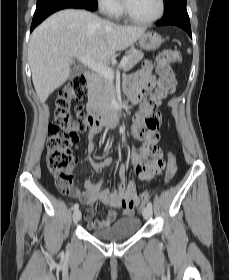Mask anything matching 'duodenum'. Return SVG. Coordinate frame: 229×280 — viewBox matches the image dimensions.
<instances>
[{
	"instance_id": "duodenum-1",
	"label": "duodenum",
	"mask_w": 229,
	"mask_h": 280,
	"mask_svg": "<svg viewBox=\"0 0 229 280\" xmlns=\"http://www.w3.org/2000/svg\"><path fill=\"white\" fill-rule=\"evenodd\" d=\"M84 77L89 81L95 80L93 72L87 71L84 73ZM88 120L92 129L102 130L105 127L120 125L122 117L119 102L117 97L111 99L107 109L102 110L94 103H88Z\"/></svg>"
}]
</instances>
